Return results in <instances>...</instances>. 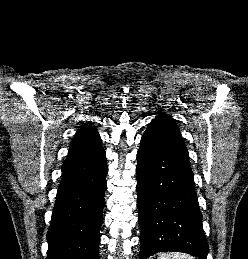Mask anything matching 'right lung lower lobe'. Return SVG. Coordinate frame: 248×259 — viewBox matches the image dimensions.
<instances>
[{"label":"right lung lower lobe","mask_w":248,"mask_h":259,"mask_svg":"<svg viewBox=\"0 0 248 259\" xmlns=\"http://www.w3.org/2000/svg\"><path fill=\"white\" fill-rule=\"evenodd\" d=\"M105 152L62 166L46 259H99V230L105 205Z\"/></svg>","instance_id":"98d812e1"}]
</instances>
